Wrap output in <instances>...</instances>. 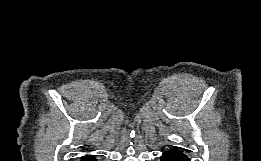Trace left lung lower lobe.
I'll return each mask as SVG.
<instances>
[{
	"instance_id": "left-lung-lower-lobe-1",
	"label": "left lung lower lobe",
	"mask_w": 261,
	"mask_h": 161,
	"mask_svg": "<svg viewBox=\"0 0 261 161\" xmlns=\"http://www.w3.org/2000/svg\"><path fill=\"white\" fill-rule=\"evenodd\" d=\"M161 161H190L189 158L175 149L164 152Z\"/></svg>"
}]
</instances>
